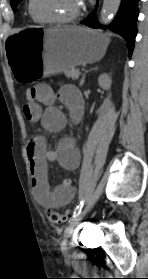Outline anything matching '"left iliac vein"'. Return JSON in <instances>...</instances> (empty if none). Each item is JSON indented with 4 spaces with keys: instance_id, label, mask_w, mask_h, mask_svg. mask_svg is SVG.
<instances>
[{
    "instance_id": "4c4485c4",
    "label": "left iliac vein",
    "mask_w": 148,
    "mask_h": 279,
    "mask_svg": "<svg viewBox=\"0 0 148 279\" xmlns=\"http://www.w3.org/2000/svg\"><path fill=\"white\" fill-rule=\"evenodd\" d=\"M88 208H85L76 218L70 221L68 227L65 229L64 232V240L62 242V250L66 251V239L74 232L76 226L79 224V222L82 220L84 215L87 213Z\"/></svg>"
}]
</instances>
